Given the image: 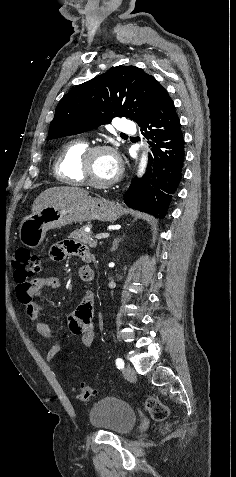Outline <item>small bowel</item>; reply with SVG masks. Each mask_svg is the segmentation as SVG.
<instances>
[{"instance_id":"small-bowel-1","label":"small bowel","mask_w":236,"mask_h":477,"mask_svg":"<svg viewBox=\"0 0 236 477\" xmlns=\"http://www.w3.org/2000/svg\"><path fill=\"white\" fill-rule=\"evenodd\" d=\"M69 256H79L84 262L92 260L88 247L74 241H61L56 243L51 249V257L55 261H62ZM80 277L84 281H92L94 279L92 268L88 265H83L80 268ZM62 285V280L59 277H41L32 282V289L30 291L17 295L19 301L25 306L28 317L36 321V328L39 334L43 338L53 341L52 346L47 352V359L49 361H53L60 354L61 345L54 340L50 325L39 320L45 311V306L38 302L36 298L41 296L44 289H60ZM94 323L95 302L93 293L88 291L69 320V330L74 335L80 336L81 344L86 348H89L94 341Z\"/></svg>"}]
</instances>
